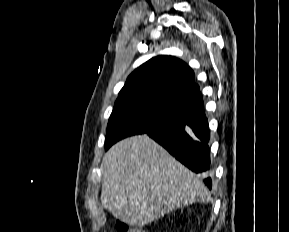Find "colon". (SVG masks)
Wrapping results in <instances>:
<instances>
[{"mask_svg":"<svg viewBox=\"0 0 289 232\" xmlns=\"http://www.w3.org/2000/svg\"><path fill=\"white\" fill-rule=\"evenodd\" d=\"M116 230L117 232H146L138 227H131L126 222L122 220H117L116 223Z\"/></svg>","mask_w":289,"mask_h":232,"instance_id":"obj_1","label":"colon"}]
</instances>
